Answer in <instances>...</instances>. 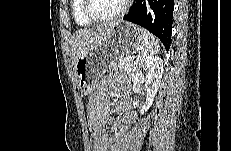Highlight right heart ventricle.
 Segmentation results:
<instances>
[{"label":"right heart ventricle","instance_id":"e07e8e85","mask_svg":"<svg viewBox=\"0 0 231 151\" xmlns=\"http://www.w3.org/2000/svg\"><path fill=\"white\" fill-rule=\"evenodd\" d=\"M72 12L74 19L77 24L81 26H89L92 24V21L89 20L84 14L83 10V0H74L72 4Z\"/></svg>","mask_w":231,"mask_h":151}]
</instances>
